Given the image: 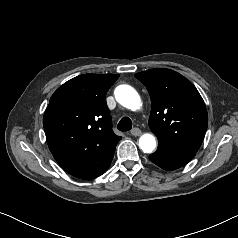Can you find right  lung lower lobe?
I'll return each instance as SVG.
<instances>
[{
	"mask_svg": "<svg viewBox=\"0 0 238 238\" xmlns=\"http://www.w3.org/2000/svg\"><path fill=\"white\" fill-rule=\"evenodd\" d=\"M111 161H112V159H111L110 161L107 162V164H106V170L108 169V167H109ZM106 170H105V171H106Z\"/></svg>",
	"mask_w": 238,
	"mask_h": 238,
	"instance_id": "obj_1",
	"label": "right lung lower lobe"
}]
</instances>
